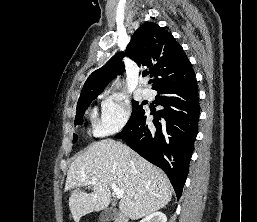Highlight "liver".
<instances>
[{"label": "liver", "instance_id": "obj_1", "mask_svg": "<svg viewBox=\"0 0 257 222\" xmlns=\"http://www.w3.org/2000/svg\"><path fill=\"white\" fill-rule=\"evenodd\" d=\"M95 180L96 184H91ZM123 191L119 208L124 216L140 219L163 207L172 197L168 177L126 145L112 139L92 143L67 172L65 191H70L69 208L75 222L111 202V187ZM92 186L86 193L82 187Z\"/></svg>", "mask_w": 257, "mask_h": 222}]
</instances>
